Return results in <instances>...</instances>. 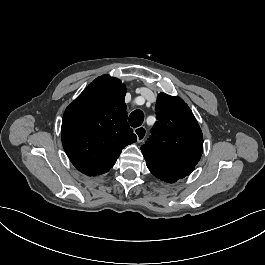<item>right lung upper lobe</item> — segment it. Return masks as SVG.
<instances>
[{
  "instance_id": "1",
  "label": "right lung upper lobe",
  "mask_w": 265,
  "mask_h": 265,
  "mask_svg": "<svg viewBox=\"0 0 265 265\" xmlns=\"http://www.w3.org/2000/svg\"><path fill=\"white\" fill-rule=\"evenodd\" d=\"M125 85L102 75L64 112L61 137L72 164L88 176L109 171L121 150L137 140L127 123Z\"/></svg>"
}]
</instances>
